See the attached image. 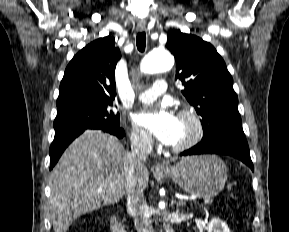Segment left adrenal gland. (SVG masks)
I'll return each instance as SVG.
<instances>
[{
    "label": "left adrenal gland",
    "mask_w": 289,
    "mask_h": 232,
    "mask_svg": "<svg viewBox=\"0 0 289 232\" xmlns=\"http://www.w3.org/2000/svg\"><path fill=\"white\" fill-rule=\"evenodd\" d=\"M177 205H178V206H181V205H183V202H182V201H179V202L177 203Z\"/></svg>",
    "instance_id": "obj_1"
}]
</instances>
